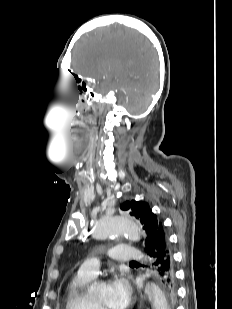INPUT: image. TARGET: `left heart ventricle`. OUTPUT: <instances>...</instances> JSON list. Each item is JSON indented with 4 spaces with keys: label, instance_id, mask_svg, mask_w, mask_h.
Masks as SVG:
<instances>
[{
    "label": "left heart ventricle",
    "instance_id": "left-heart-ventricle-1",
    "mask_svg": "<svg viewBox=\"0 0 232 309\" xmlns=\"http://www.w3.org/2000/svg\"><path fill=\"white\" fill-rule=\"evenodd\" d=\"M94 297L108 309H116L112 302V292L110 284H103L102 287L96 292Z\"/></svg>",
    "mask_w": 232,
    "mask_h": 309
}]
</instances>
